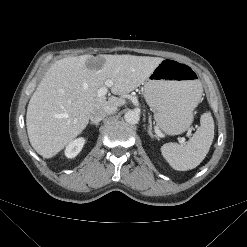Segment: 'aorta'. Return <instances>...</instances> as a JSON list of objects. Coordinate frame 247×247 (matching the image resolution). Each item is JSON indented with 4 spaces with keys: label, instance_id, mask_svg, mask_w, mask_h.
Wrapping results in <instances>:
<instances>
[{
    "label": "aorta",
    "instance_id": "762f6f07",
    "mask_svg": "<svg viewBox=\"0 0 247 247\" xmlns=\"http://www.w3.org/2000/svg\"><path fill=\"white\" fill-rule=\"evenodd\" d=\"M124 119L129 124H137L140 120V114L135 110H129L125 113Z\"/></svg>",
    "mask_w": 247,
    "mask_h": 247
}]
</instances>
